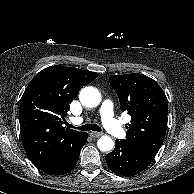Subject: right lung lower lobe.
<instances>
[{
  "label": "right lung lower lobe",
  "instance_id": "98d812e1",
  "mask_svg": "<svg viewBox=\"0 0 194 194\" xmlns=\"http://www.w3.org/2000/svg\"><path fill=\"white\" fill-rule=\"evenodd\" d=\"M88 134L84 132L75 144L57 157L51 164L38 168L49 175H63L69 173L76 165L80 150L86 143Z\"/></svg>",
  "mask_w": 194,
  "mask_h": 194
}]
</instances>
